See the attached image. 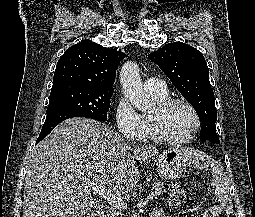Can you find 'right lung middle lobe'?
Here are the masks:
<instances>
[{"mask_svg": "<svg viewBox=\"0 0 255 217\" xmlns=\"http://www.w3.org/2000/svg\"><path fill=\"white\" fill-rule=\"evenodd\" d=\"M112 95L113 90L82 85L52 87L47 114L56 110H68L88 114L98 121H106Z\"/></svg>", "mask_w": 255, "mask_h": 217, "instance_id": "dd1d6c3e", "label": "right lung middle lobe"}]
</instances>
